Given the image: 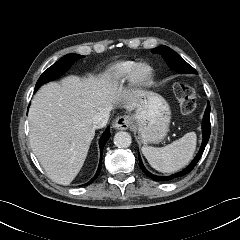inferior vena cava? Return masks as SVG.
Here are the masks:
<instances>
[{
	"instance_id": "1",
	"label": "inferior vena cava",
	"mask_w": 240,
	"mask_h": 240,
	"mask_svg": "<svg viewBox=\"0 0 240 240\" xmlns=\"http://www.w3.org/2000/svg\"><path fill=\"white\" fill-rule=\"evenodd\" d=\"M110 116V111L107 109H103L102 111L98 112L92 118V124L95 129L102 128L106 126L108 119Z\"/></svg>"
}]
</instances>
